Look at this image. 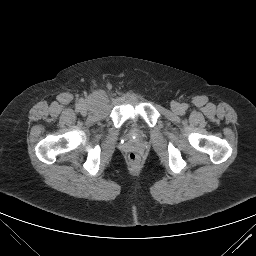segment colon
<instances>
[{"label": "colon", "mask_w": 256, "mask_h": 256, "mask_svg": "<svg viewBox=\"0 0 256 256\" xmlns=\"http://www.w3.org/2000/svg\"><path fill=\"white\" fill-rule=\"evenodd\" d=\"M128 161L132 165H138L140 163V156L136 153H130L128 156Z\"/></svg>", "instance_id": "obj_1"}]
</instances>
